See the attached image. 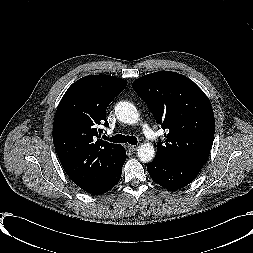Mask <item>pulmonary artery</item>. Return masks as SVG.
Segmentation results:
<instances>
[{
    "label": "pulmonary artery",
    "instance_id": "obj_1",
    "mask_svg": "<svg viewBox=\"0 0 253 253\" xmlns=\"http://www.w3.org/2000/svg\"><path fill=\"white\" fill-rule=\"evenodd\" d=\"M141 130L143 132V134L152 142H154V138H153V130L150 128L149 125L147 124H142L141 125Z\"/></svg>",
    "mask_w": 253,
    "mask_h": 253
}]
</instances>
